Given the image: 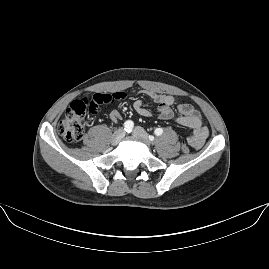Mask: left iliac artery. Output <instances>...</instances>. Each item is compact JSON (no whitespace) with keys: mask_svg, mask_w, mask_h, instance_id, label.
<instances>
[{"mask_svg":"<svg viewBox=\"0 0 269 269\" xmlns=\"http://www.w3.org/2000/svg\"><path fill=\"white\" fill-rule=\"evenodd\" d=\"M154 133H155L157 136H160V135H162V133H163V129H162V128H157V129L155 130ZM149 139H150V140H153L154 137L149 136Z\"/></svg>","mask_w":269,"mask_h":269,"instance_id":"obj_1","label":"left iliac artery"}]
</instances>
